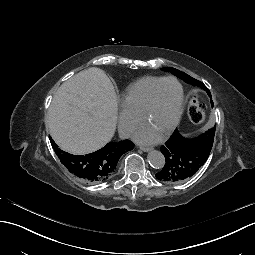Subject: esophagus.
Masks as SVG:
<instances>
[{"label":"esophagus","mask_w":255,"mask_h":255,"mask_svg":"<svg viewBox=\"0 0 255 255\" xmlns=\"http://www.w3.org/2000/svg\"><path fill=\"white\" fill-rule=\"evenodd\" d=\"M140 149L144 152H148L150 150H152V147H148V146H140Z\"/></svg>","instance_id":"1"}]
</instances>
